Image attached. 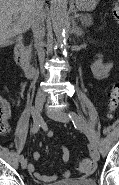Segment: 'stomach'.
<instances>
[{"label": "stomach", "instance_id": "1", "mask_svg": "<svg viewBox=\"0 0 119 185\" xmlns=\"http://www.w3.org/2000/svg\"><path fill=\"white\" fill-rule=\"evenodd\" d=\"M98 0H75V4L80 11H92L95 9Z\"/></svg>", "mask_w": 119, "mask_h": 185}]
</instances>
